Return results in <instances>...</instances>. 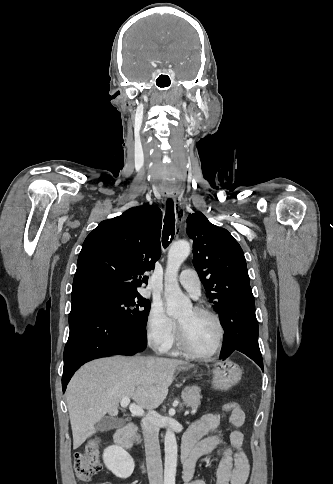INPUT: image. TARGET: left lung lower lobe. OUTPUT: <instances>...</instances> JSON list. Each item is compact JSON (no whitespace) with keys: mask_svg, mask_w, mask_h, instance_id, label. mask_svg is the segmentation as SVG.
I'll list each match as a JSON object with an SVG mask.
<instances>
[{"mask_svg":"<svg viewBox=\"0 0 333 484\" xmlns=\"http://www.w3.org/2000/svg\"><path fill=\"white\" fill-rule=\"evenodd\" d=\"M235 298V301L227 299L219 313L225 332V346L221 350L220 359L225 360L237 350L254 360L263 370V360L258 345V322L251 287L238 290Z\"/></svg>","mask_w":333,"mask_h":484,"instance_id":"0a47b994","label":"left lung lower lobe"}]
</instances>
